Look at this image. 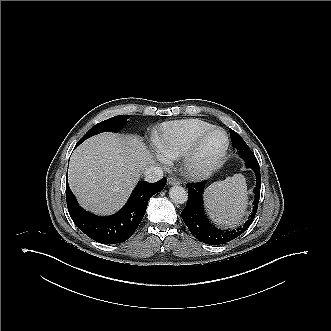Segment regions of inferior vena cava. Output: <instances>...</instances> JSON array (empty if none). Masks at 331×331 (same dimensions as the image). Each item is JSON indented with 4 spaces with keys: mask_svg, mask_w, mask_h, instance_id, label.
<instances>
[{
    "mask_svg": "<svg viewBox=\"0 0 331 331\" xmlns=\"http://www.w3.org/2000/svg\"><path fill=\"white\" fill-rule=\"evenodd\" d=\"M143 176L147 182H157L163 177V169L156 164L149 165L143 170Z\"/></svg>",
    "mask_w": 331,
    "mask_h": 331,
    "instance_id": "1",
    "label": "inferior vena cava"
}]
</instances>
